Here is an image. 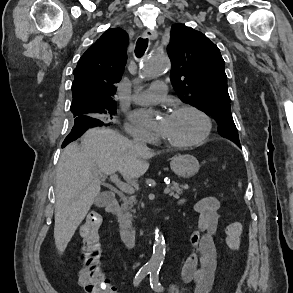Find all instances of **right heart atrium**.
<instances>
[{
	"label": "right heart atrium",
	"mask_w": 293,
	"mask_h": 293,
	"mask_svg": "<svg viewBox=\"0 0 293 293\" xmlns=\"http://www.w3.org/2000/svg\"><path fill=\"white\" fill-rule=\"evenodd\" d=\"M124 129L130 136L134 138L142 139L147 142H151L153 140L149 133L129 121L124 123Z\"/></svg>",
	"instance_id": "obj_1"
}]
</instances>
